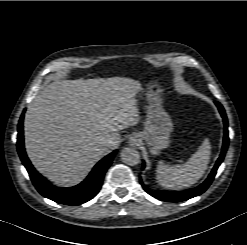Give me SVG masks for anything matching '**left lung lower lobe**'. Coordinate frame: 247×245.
<instances>
[{
  "instance_id": "1",
  "label": "left lung lower lobe",
  "mask_w": 247,
  "mask_h": 245,
  "mask_svg": "<svg viewBox=\"0 0 247 245\" xmlns=\"http://www.w3.org/2000/svg\"><path fill=\"white\" fill-rule=\"evenodd\" d=\"M216 106L218 107L221 116L223 118V122H224V141H223V147H222V152L220 154V157L218 158L214 168L212 169L211 173L209 174L208 178L198 187L192 189V190H188L185 192H178V193H169V192H156V191H152L150 189H148L142 182V187L143 189L150 194L151 196L162 200V201H166V202H180V201H185L188 200L190 198H193L195 196H198L200 194H202L203 192L206 191V189L209 187V185L211 184V182L214 179V176L216 174V171L219 167V165L222 163L225 153L227 151L228 148V144H229V137H228V121H227V117L224 111V108L222 107V105L219 102H215ZM145 167V163H143V168Z\"/></svg>"
}]
</instances>
